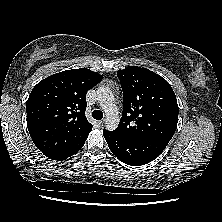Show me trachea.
<instances>
[{
    "mask_svg": "<svg viewBox=\"0 0 222 222\" xmlns=\"http://www.w3.org/2000/svg\"><path fill=\"white\" fill-rule=\"evenodd\" d=\"M92 116H93V118L96 119V120H101V119L103 118V113H102V111H100V110H94V111L92 112Z\"/></svg>",
    "mask_w": 222,
    "mask_h": 222,
    "instance_id": "1",
    "label": "trachea"
}]
</instances>
